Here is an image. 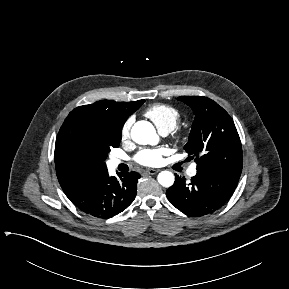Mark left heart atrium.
Here are the masks:
<instances>
[{
    "mask_svg": "<svg viewBox=\"0 0 289 289\" xmlns=\"http://www.w3.org/2000/svg\"><path fill=\"white\" fill-rule=\"evenodd\" d=\"M170 150L166 147L149 149L145 148L140 150L135 155V161L143 166L154 167L163 162L164 156L168 155Z\"/></svg>",
    "mask_w": 289,
    "mask_h": 289,
    "instance_id": "1",
    "label": "left heart atrium"
}]
</instances>
